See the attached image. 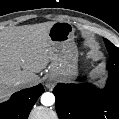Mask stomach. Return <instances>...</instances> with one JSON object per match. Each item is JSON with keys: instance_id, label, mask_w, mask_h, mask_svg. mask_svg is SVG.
<instances>
[{"instance_id": "0dacf381", "label": "stomach", "mask_w": 119, "mask_h": 119, "mask_svg": "<svg viewBox=\"0 0 119 119\" xmlns=\"http://www.w3.org/2000/svg\"><path fill=\"white\" fill-rule=\"evenodd\" d=\"M51 43V73L73 79L78 73V50L74 42V28L69 22H54L48 32Z\"/></svg>"}]
</instances>
